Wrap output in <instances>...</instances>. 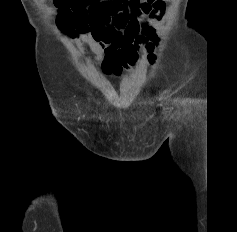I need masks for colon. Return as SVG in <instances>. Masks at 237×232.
Listing matches in <instances>:
<instances>
[{
  "mask_svg": "<svg viewBox=\"0 0 237 232\" xmlns=\"http://www.w3.org/2000/svg\"><path fill=\"white\" fill-rule=\"evenodd\" d=\"M146 0H53L57 23L71 35L99 33L107 20L127 16Z\"/></svg>",
  "mask_w": 237,
  "mask_h": 232,
  "instance_id": "colon-1",
  "label": "colon"
}]
</instances>
